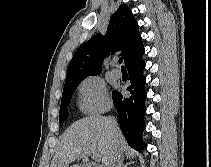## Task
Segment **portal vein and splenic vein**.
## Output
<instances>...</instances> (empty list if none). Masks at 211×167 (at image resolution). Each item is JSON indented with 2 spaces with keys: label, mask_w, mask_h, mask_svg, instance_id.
<instances>
[{
  "label": "portal vein and splenic vein",
  "mask_w": 211,
  "mask_h": 167,
  "mask_svg": "<svg viewBox=\"0 0 211 167\" xmlns=\"http://www.w3.org/2000/svg\"><path fill=\"white\" fill-rule=\"evenodd\" d=\"M92 158L95 160V161H100V155L97 154V153H92ZM96 167H102L101 165H98Z\"/></svg>",
  "instance_id": "1"
}]
</instances>
